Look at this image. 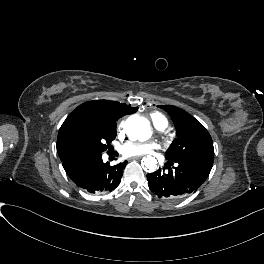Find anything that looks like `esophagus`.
<instances>
[{
	"label": "esophagus",
	"instance_id": "esophagus-1",
	"mask_svg": "<svg viewBox=\"0 0 264 264\" xmlns=\"http://www.w3.org/2000/svg\"><path fill=\"white\" fill-rule=\"evenodd\" d=\"M132 159L137 160V159H139V157L135 156V157H133Z\"/></svg>",
	"mask_w": 264,
	"mask_h": 264
}]
</instances>
